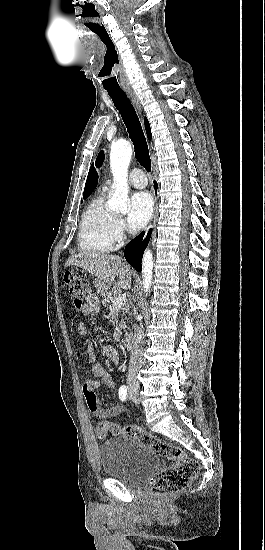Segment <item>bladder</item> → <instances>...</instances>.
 I'll return each mask as SVG.
<instances>
[{
    "instance_id": "31cf9c89",
    "label": "bladder",
    "mask_w": 265,
    "mask_h": 550,
    "mask_svg": "<svg viewBox=\"0 0 265 550\" xmlns=\"http://www.w3.org/2000/svg\"><path fill=\"white\" fill-rule=\"evenodd\" d=\"M103 472L125 484L136 486L144 482L159 466V458L150 447L132 436L110 439L99 448Z\"/></svg>"
}]
</instances>
